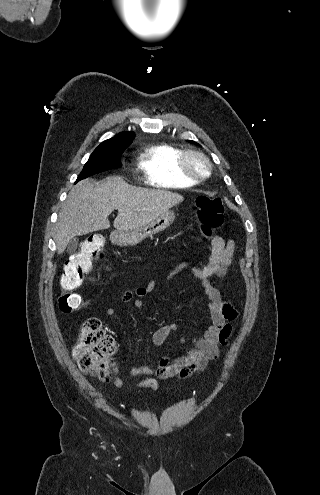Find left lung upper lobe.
I'll list each match as a JSON object with an SVG mask.
<instances>
[{"instance_id":"1","label":"left lung upper lobe","mask_w":320,"mask_h":495,"mask_svg":"<svg viewBox=\"0 0 320 495\" xmlns=\"http://www.w3.org/2000/svg\"><path fill=\"white\" fill-rule=\"evenodd\" d=\"M189 142L194 143V144H196V145H199L198 143H196V142H194V141H190V140H189Z\"/></svg>"}]
</instances>
